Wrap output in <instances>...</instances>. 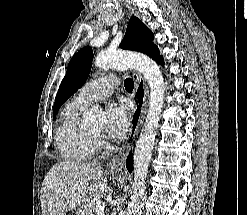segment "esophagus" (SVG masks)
I'll use <instances>...</instances> for the list:
<instances>
[{"instance_id":"obj_1","label":"esophagus","mask_w":247,"mask_h":215,"mask_svg":"<svg viewBox=\"0 0 247 215\" xmlns=\"http://www.w3.org/2000/svg\"><path fill=\"white\" fill-rule=\"evenodd\" d=\"M134 80V91L132 99L134 102V110L130 119V130L126 141L119 149L118 153L107 163L106 170L113 173H122V166L126 161L128 152L133 145L139 129L142 125L145 110L147 107V99L149 96V89L145 79L137 71L132 72Z\"/></svg>"}]
</instances>
